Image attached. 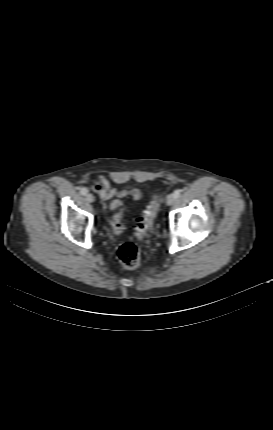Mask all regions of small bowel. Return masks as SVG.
<instances>
[{"mask_svg": "<svg viewBox=\"0 0 273 430\" xmlns=\"http://www.w3.org/2000/svg\"><path fill=\"white\" fill-rule=\"evenodd\" d=\"M94 191L99 195L102 200H109L111 198H124L132 197L134 200L141 198L142 193L137 188L131 189H117L110 186L109 181L105 176H100L93 185Z\"/></svg>", "mask_w": 273, "mask_h": 430, "instance_id": "small-bowel-1", "label": "small bowel"}]
</instances>
